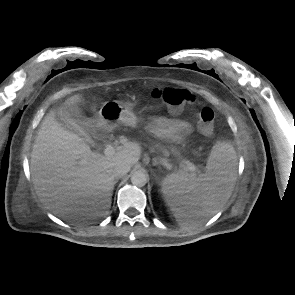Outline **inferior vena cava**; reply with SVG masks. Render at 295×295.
Wrapping results in <instances>:
<instances>
[{"mask_svg": "<svg viewBox=\"0 0 295 295\" xmlns=\"http://www.w3.org/2000/svg\"><path fill=\"white\" fill-rule=\"evenodd\" d=\"M130 171V165L126 163H117L113 168V176L116 178H121L125 176Z\"/></svg>", "mask_w": 295, "mask_h": 295, "instance_id": "602c4592", "label": "inferior vena cava"}]
</instances>
